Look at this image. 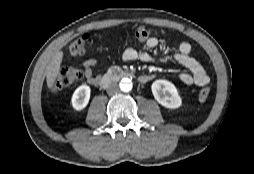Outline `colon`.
Instances as JSON below:
<instances>
[{"label": "colon", "instance_id": "colon-1", "mask_svg": "<svg viewBox=\"0 0 254 174\" xmlns=\"http://www.w3.org/2000/svg\"><path fill=\"white\" fill-rule=\"evenodd\" d=\"M157 33L152 28L149 27H137L134 30H132L129 34L130 36L139 41L143 42L148 40L153 34ZM89 40V35H83L80 38L73 41L69 47L70 54L72 56H80L84 53L86 44ZM82 78V71L80 69L74 68V67H67V68H61L55 77L53 86H52V92L56 93L59 92L76 82H78ZM210 87L205 86L203 87L199 92V100L201 102H204L208 99L210 95Z\"/></svg>", "mask_w": 254, "mask_h": 174}]
</instances>
